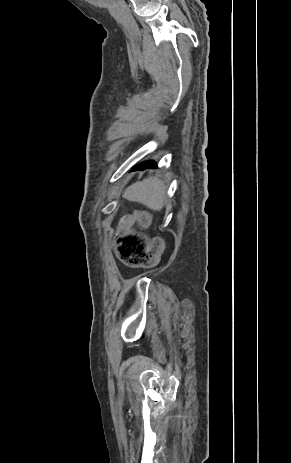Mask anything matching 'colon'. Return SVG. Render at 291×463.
<instances>
[{
  "instance_id": "colon-1",
  "label": "colon",
  "mask_w": 291,
  "mask_h": 463,
  "mask_svg": "<svg viewBox=\"0 0 291 463\" xmlns=\"http://www.w3.org/2000/svg\"><path fill=\"white\" fill-rule=\"evenodd\" d=\"M148 216L137 212L124 216L120 221V228L116 239L117 255L120 261L130 267H140L154 259L157 242H148L132 227L135 223L146 224Z\"/></svg>"
}]
</instances>
